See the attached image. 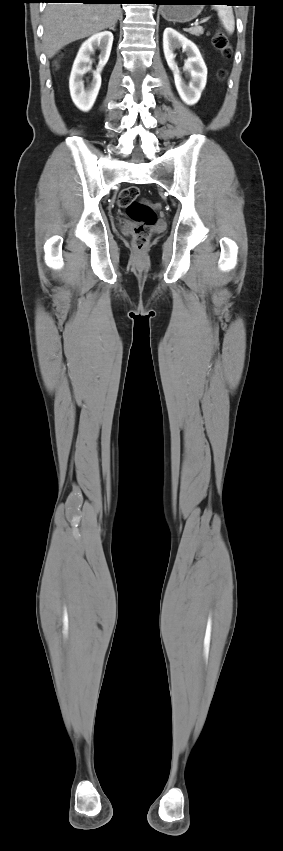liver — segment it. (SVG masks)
Here are the masks:
<instances>
[{
    "mask_svg": "<svg viewBox=\"0 0 283 851\" xmlns=\"http://www.w3.org/2000/svg\"><path fill=\"white\" fill-rule=\"evenodd\" d=\"M120 14L119 4L49 3L43 19L47 58L76 40L111 28Z\"/></svg>",
    "mask_w": 283,
    "mask_h": 851,
    "instance_id": "obj_1",
    "label": "liver"
}]
</instances>
